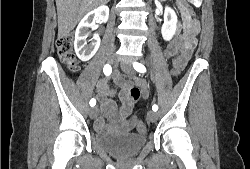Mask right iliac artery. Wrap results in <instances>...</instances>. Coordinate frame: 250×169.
I'll return each instance as SVG.
<instances>
[{
    "label": "right iliac artery",
    "mask_w": 250,
    "mask_h": 169,
    "mask_svg": "<svg viewBox=\"0 0 250 169\" xmlns=\"http://www.w3.org/2000/svg\"><path fill=\"white\" fill-rule=\"evenodd\" d=\"M103 72H104V74H105L106 76H109V75L112 73V68H111V66H110L109 64H106V65L104 66V68H103ZM95 104H96V100H95L94 98H92V99L90 100V106L93 107V106H95Z\"/></svg>",
    "instance_id": "82829eb1"
}]
</instances>
